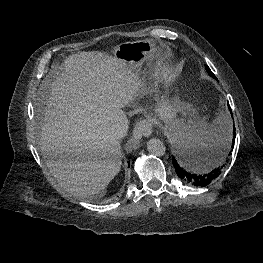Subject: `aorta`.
Returning <instances> with one entry per match:
<instances>
[{"mask_svg": "<svg viewBox=\"0 0 263 263\" xmlns=\"http://www.w3.org/2000/svg\"><path fill=\"white\" fill-rule=\"evenodd\" d=\"M147 150L151 155L163 156L166 151V147L163 142L159 139H150L147 142Z\"/></svg>", "mask_w": 263, "mask_h": 263, "instance_id": "aorta-1", "label": "aorta"}]
</instances>
